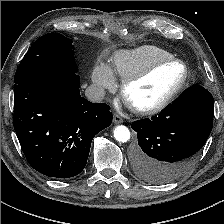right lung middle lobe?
Instances as JSON below:
<instances>
[{
	"label": "right lung middle lobe",
	"mask_w": 224,
	"mask_h": 224,
	"mask_svg": "<svg viewBox=\"0 0 224 224\" xmlns=\"http://www.w3.org/2000/svg\"><path fill=\"white\" fill-rule=\"evenodd\" d=\"M72 40L59 33L38 38L20 62L14 77V90L29 78L47 72H77Z\"/></svg>",
	"instance_id": "right-lung-middle-lobe-1"
}]
</instances>
